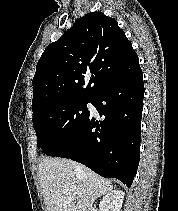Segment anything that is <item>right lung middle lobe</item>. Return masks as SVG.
<instances>
[{"label": "right lung middle lobe", "instance_id": "obj_1", "mask_svg": "<svg viewBox=\"0 0 178 211\" xmlns=\"http://www.w3.org/2000/svg\"><path fill=\"white\" fill-rule=\"evenodd\" d=\"M92 99H72L53 103L33 115L37 146L49 154L78 131L90 114L87 103Z\"/></svg>", "mask_w": 178, "mask_h": 211}]
</instances>
